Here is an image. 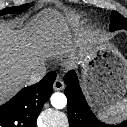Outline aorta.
Wrapping results in <instances>:
<instances>
[{
  "instance_id": "762f6f07",
  "label": "aorta",
  "mask_w": 127,
  "mask_h": 127,
  "mask_svg": "<svg viewBox=\"0 0 127 127\" xmlns=\"http://www.w3.org/2000/svg\"><path fill=\"white\" fill-rule=\"evenodd\" d=\"M51 104L56 109H62L67 105V98L61 92L53 93L51 96Z\"/></svg>"
}]
</instances>
